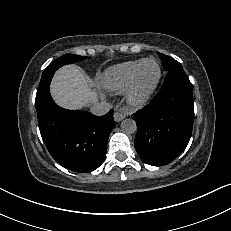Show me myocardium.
Segmentation results:
<instances>
[{
	"label": "myocardium",
	"mask_w": 231,
	"mask_h": 231,
	"mask_svg": "<svg viewBox=\"0 0 231 231\" xmlns=\"http://www.w3.org/2000/svg\"><path fill=\"white\" fill-rule=\"evenodd\" d=\"M147 62H153L156 64L157 68H158V76L154 82V84L149 88L148 91H146L143 95L138 96L135 92V82H136V77L137 74L140 70V68ZM162 79V68L159 64V62L153 58H146L143 59L133 70L129 81L124 89V96L126 99V102L135 108H141L145 105H147L151 98L153 97L154 93L156 92L160 82Z\"/></svg>",
	"instance_id": "f54148a6"
}]
</instances>
